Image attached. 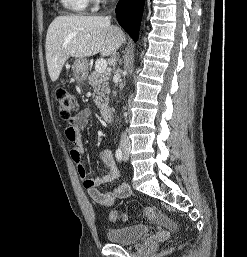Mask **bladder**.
Segmentation results:
<instances>
[{"mask_svg":"<svg viewBox=\"0 0 247 257\" xmlns=\"http://www.w3.org/2000/svg\"><path fill=\"white\" fill-rule=\"evenodd\" d=\"M149 233L146 225L137 224L125 227H111L106 230L107 239L114 244L129 245L136 243Z\"/></svg>","mask_w":247,"mask_h":257,"instance_id":"bladder-1","label":"bladder"}]
</instances>
